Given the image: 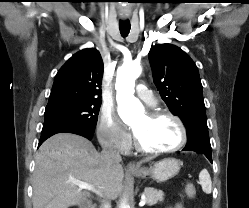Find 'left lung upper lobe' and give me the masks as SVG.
Returning a JSON list of instances; mask_svg holds the SVG:
<instances>
[{
  "label": "left lung upper lobe",
  "mask_w": 249,
  "mask_h": 208,
  "mask_svg": "<svg viewBox=\"0 0 249 208\" xmlns=\"http://www.w3.org/2000/svg\"><path fill=\"white\" fill-rule=\"evenodd\" d=\"M153 81L172 114L178 115L188 140L209 139L203 89L196 64L180 48L157 44L149 51Z\"/></svg>",
  "instance_id": "5c2ea615"
}]
</instances>
